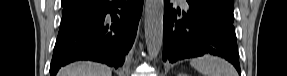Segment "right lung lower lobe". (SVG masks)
<instances>
[{"label": "right lung lower lobe", "instance_id": "right-lung-lower-lobe-1", "mask_svg": "<svg viewBox=\"0 0 287 76\" xmlns=\"http://www.w3.org/2000/svg\"><path fill=\"white\" fill-rule=\"evenodd\" d=\"M143 0H87L63 15L56 40L51 76L76 61L92 60L118 68L135 40Z\"/></svg>", "mask_w": 287, "mask_h": 76}]
</instances>
